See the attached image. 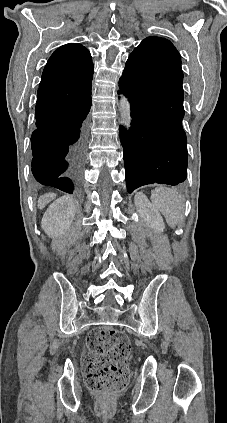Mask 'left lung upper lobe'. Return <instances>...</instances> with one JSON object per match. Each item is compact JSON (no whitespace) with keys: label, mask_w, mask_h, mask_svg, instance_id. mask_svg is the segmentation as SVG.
<instances>
[{"label":"left lung upper lobe","mask_w":227,"mask_h":423,"mask_svg":"<svg viewBox=\"0 0 227 423\" xmlns=\"http://www.w3.org/2000/svg\"><path fill=\"white\" fill-rule=\"evenodd\" d=\"M121 78L149 89L162 111L184 112L181 56L169 40L145 38L130 54Z\"/></svg>","instance_id":"obj_1"}]
</instances>
